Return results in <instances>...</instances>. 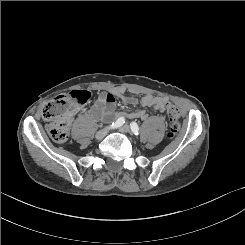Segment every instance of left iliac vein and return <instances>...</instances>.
<instances>
[{
    "label": "left iliac vein",
    "mask_w": 245,
    "mask_h": 245,
    "mask_svg": "<svg viewBox=\"0 0 245 245\" xmlns=\"http://www.w3.org/2000/svg\"><path fill=\"white\" fill-rule=\"evenodd\" d=\"M119 131H121L122 133H128L130 132V127L125 124L119 128Z\"/></svg>",
    "instance_id": "4c4485c4"
}]
</instances>
